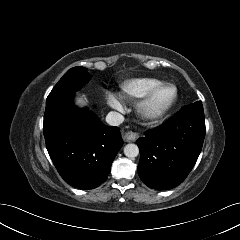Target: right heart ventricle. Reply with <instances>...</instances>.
<instances>
[{
  "label": "right heart ventricle",
  "instance_id": "obj_1",
  "mask_svg": "<svg viewBox=\"0 0 240 240\" xmlns=\"http://www.w3.org/2000/svg\"><path fill=\"white\" fill-rule=\"evenodd\" d=\"M161 83H163L162 80L152 77L130 79L121 84L119 95L124 100L136 101Z\"/></svg>",
  "mask_w": 240,
  "mask_h": 240
}]
</instances>
